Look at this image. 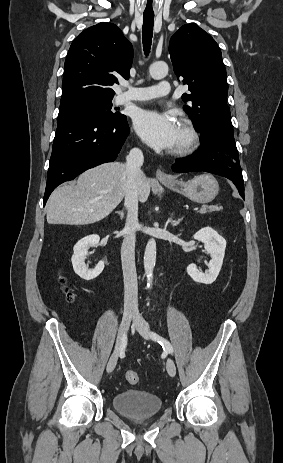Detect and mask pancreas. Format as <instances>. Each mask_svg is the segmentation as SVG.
<instances>
[{
	"label": "pancreas",
	"mask_w": 283,
	"mask_h": 463,
	"mask_svg": "<svg viewBox=\"0 0 283 463\" xmlns=\"http://www.w3.org/2000/svg\"><path fill=\"white\" fill-rule=\"evenodd\" d=\"M221 210L220 207L217 205H212V206H203L201 210H199L200 213H206V212H214Z\"/></svg>",
	"instance_id": "obj_1"
}]
</instances>
